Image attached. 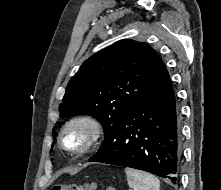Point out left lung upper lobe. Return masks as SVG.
I'll return each instance as SVG.
<instances>
[{
  "label": "left lung upper lobe",
  "instance_id": "obj_1",
  "mask_svg": "<svg viewBox=\"0 0 221 190\" xmlns=\"http://www.w3.org/2000/svg\"><path fill=\"white\" fill-rule=\"evenodd\" d=\"M164 69L157 53L146 43L119 41L82 64L67 85L59 116L92 115L106 136Z\"/></svg>",
  "mask_w": 221,
  "mask_h": 190
}]
</instances>
